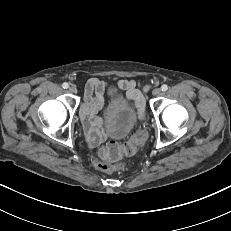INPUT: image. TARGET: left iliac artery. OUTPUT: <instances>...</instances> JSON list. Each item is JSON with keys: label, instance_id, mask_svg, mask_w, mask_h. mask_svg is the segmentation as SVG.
Instances as JSON below:
<instances>
[{"label": "left iliac artery", "instance_id": "44dca946", "mask_svg": "<svg viewBox=\"0 0 231 231\" xmlns=\"http://www.w3.org/2000/svg\"><path fill=\"white\" fill-rule=\"evenodd\" d=\"M167 89H168V86H167L166 84H163V85L161 86V90H162V91H167Z\"/></svg>", "mask_w": 231, "mask_h": 231}]
</instances>
